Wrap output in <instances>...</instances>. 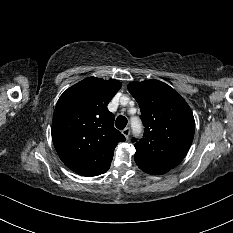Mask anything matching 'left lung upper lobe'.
<instances>
[{
    "mask_svg": "<svg viewBox=\"0 0 233 233\" xmlns=\"http://www.w3.org/2000/svg\"><path fill=\"white\" fill-rule=\"evenodd\" d=\"M128 90L139 104L145 127L142 139L133 138L135 154L175 168L186 156L194 137L190 107L173 88L158 80L131 82Z\"/></svg>",
    "mask_w": 233,
    "mask_h": 233,
    "instance_id": "obj_1",
    "label": "left lung upper lobe"
}]
</instances>
